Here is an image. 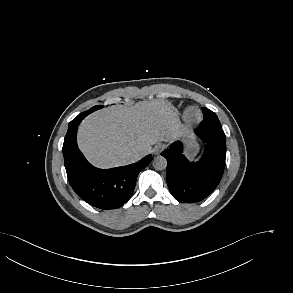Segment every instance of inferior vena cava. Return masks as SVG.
I'll return each instance as SVG.
<instances>
[{"mask_svg": "<svg viewBox=\"0 0 293 293\" xmlns=\"http://www.w3.org/2000/svg\"><path fill=\"white\" fill-rule=\"evenodd\" d=\"M141 158H142V155L140 153H135L132 156V162H136V161L140 160Z\"/></svg>", "mask_w": 293, "mask_h": 293, "instance_id": "602c4592", "label": "inferior vena cava"}]
</instances>
